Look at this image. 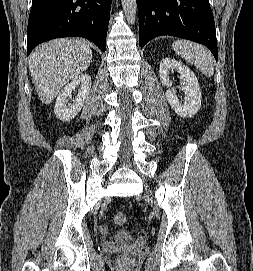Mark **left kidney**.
<instances>
[{"label":"left kidney","mask_w":253,"mask_h":271,"mask_svg":"<svg viewBox=\"0 0 253 271\" xmlns=\"http://www.w3.org/2000/svg\"><path fill=\"white\" fill-rule=\"evenodd\" d=\"M170 70H176L180 74V83L186 95L184 103L178 100L176 91L171 87ZM159 77L161 83L168 87L165 96L177 115L192 117L200 110L202 96L199 83L189 67L174 59L164 58L160 62Z\"/></svg>","instance_id":"5707ae66"}]
</instances>
